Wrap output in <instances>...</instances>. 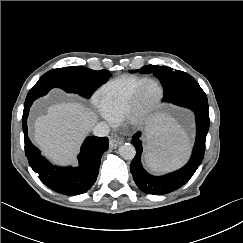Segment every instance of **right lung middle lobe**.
<instances>
[{"instance_id":"dd1d6c3e","label":"right lung middle lobe","mask_w":243,"mask_h":243,"mask_svg":"<svg viewBox=\"0 0 243 243\" xmlns=\"http://www.w3.org/2000/svg\"><path fill=\"white\" fill-rule=\"evenodd\" d=\"M108 77L110 73L107 70L95 71L82 66H70L48 71L32 88H60L88 99Z\"/></svg>"}]
</instances>
